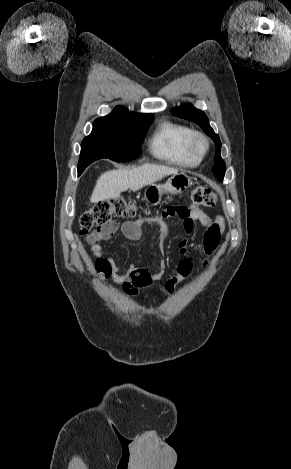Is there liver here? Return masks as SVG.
Segmentation results:
<instances>
[{
  "label": "liver",
  "mask_w": 291,
  "mask_h": 469,
  "mask_svg": "<svg viewBox=\"0 0 291 469\" xmlns=\"http://www.w3.org/2000/svg\"><path fill=\"white\" fill-rule=\"evenodd\" d=\"M175 168L144 164L132 169H119L107 171L98 178L92 195L91 203L117 198L120 194L128 189L137 191L148 184L177 173Z\"/></svg>",
  "instance_id": "obj_1"
}]
</instances>
